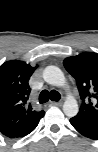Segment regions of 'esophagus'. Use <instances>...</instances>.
<instances>
[{
	"instance_id": "obj_1",
	"label": "esophagus",
	"mask_w": 98,
	"mask_h": 152,
	"mask_svg": "<svg viewBox=\"0 0 98 152\" xmlns=\"http://www.w3.org/2000/svg\"><path fill=\"white\" fill-rule=\"evenodd\" d=\"M50 105L61 106V105H62V101H58V102H56V101H51V102H50Z\"/></svg>"
}]
</instances>
